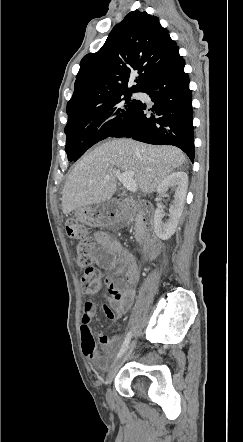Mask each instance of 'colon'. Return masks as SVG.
<instances>
[{
    "mask_svg": "<svg viewBox=\"0 0 243 442\" xmlns=\"http://www.w3.org/2000/svg\"><path fill=\"white\" fill-rule=\"evenodd\" d=\"M67 235L78 241L77 262L83 268L84 273L81 279L83 291L88 295H96L103 291L108 284L102 276L101 271L93 266V252L96 241L89 234L88 227L74 219H68L65 223Z\"/></svg>",
    "mask_w": 243,
    "mask_h": 442,
    "instance_id": "obj_1",
    "label": "colon"
}]
</instances>
